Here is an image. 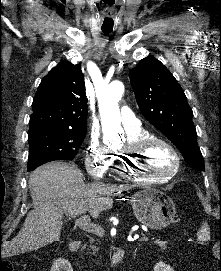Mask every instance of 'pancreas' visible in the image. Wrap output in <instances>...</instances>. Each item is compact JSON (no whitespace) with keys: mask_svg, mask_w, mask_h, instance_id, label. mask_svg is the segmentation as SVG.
<instances>
[{"mask_svg":"<svg viewBox=\"0 0 221 271\" xmlns=\"http://www.w3.org/2000/svg\"><path fill=\"white\" fill-rule=\"evenodd\" d=\"M154 247H170L172 244L167 239H151L148 240ZM91 251L89 253H97L98 249L96 245H89Z\"/></svg>","mask_w":221,"mask_h":271,"instance_id":"1","label":"pancreas"}]
</instances>
